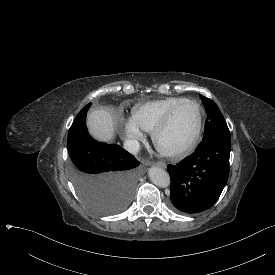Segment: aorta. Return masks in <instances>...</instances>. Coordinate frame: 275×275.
<instances>
[{"label": "aorta", "instance_id": "762f6f07", "mask_svg": "<svg viewBox=\"0 0 275 275\" xmlns=\"http://www.w3.org/2000/svg\"><path fill=\"white\" fill-rule=\"evenodd\" d=\"M148 175L152 183L159 187H166L169 185V175L164 168L159 166H151L148 168Z\"/></svg>", "mask_w": 275, "mask_h": 275}]
</instances>
